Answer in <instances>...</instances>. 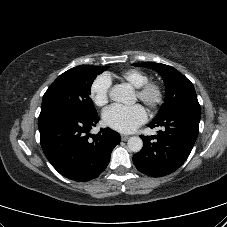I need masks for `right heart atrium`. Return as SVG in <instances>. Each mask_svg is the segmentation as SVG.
<instances>
[{"label": "right heart atrium", "instance_id": "obj_1", "mask_svg": "<svg viewBox=\"0 0 227 227\" xmlns=\"http://www.w3.org/2000/svg\"><path fill=\"white\" fill-rule=\"evenodd\" d=\"M111 87L110 77L106 74L98 76L91 84L89 95L96 106H104L109 100Z\"/></svg>", "mask_w": 227, "mask_h": 227}]
</instances>
